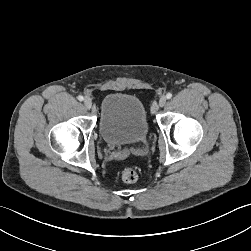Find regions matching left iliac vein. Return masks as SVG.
Instances as JSON below:
<instances>
[{
  "mask_svg": "<svg viewBox=\"0 0 251 251\" xmlns=\"http://www.w3.org/2000/svg\"><path fill=\"white\" fill-rule=\"evenodd\" d=\"M166 101H167V98H166L165 96H162V97L160 98V100H159V106H160V107L165 106Z\"/></svg>",
  "mask_w": 251,
  "mask_h": 251,
  "instance_id": "1",
  "label": "left iliac vein"
}]
</instances>
